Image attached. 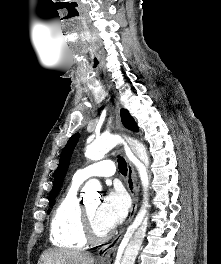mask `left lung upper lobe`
<instances>
[{
  "label": "left lung upper lobe",
  "mask_w": 221,
  "mask_h": 264,
  "mask_svg": "<svg viewBox=\"0 0 221 264\" xmlns=\"http://www.w3.org/2000/svg\"><path fill=\"white\" fill-rule=\"evenodd\" d=\"M121 119L125 127H127L130 130L137 131L138 128L136 127L134 119L130 116L129 112L125 109L121 110ZM79 139V134L76 133L74 134L69 141L67 142L65 148L62 151L60 161H59V166L55 172L54 175V181H53V188L50 192L49 196V206L53 207L55 204V198L57 194L60 191V188L62 186V182L64 180V177L66 175V172L69 167V162L71 159L72 152L78 142ZM50 210H48V213Z\"/></svg>",
  "instance_id": "1"
}]
</instances>
